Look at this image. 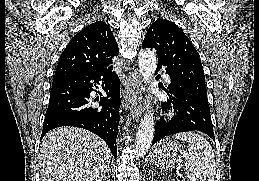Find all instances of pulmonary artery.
<instances>
[{
    "instance_id": "pulmonary-artery-1",
    "label": "pulmonary artery",
    "mask_w": 259,
    "mask_h": 181,
    "mask_svg": "<svg viewBox=\"0 0 259 181\" xmlns=\"http://www.w3.org/2000/svg\"><path fill=\"white\" fill-rule=\"evenodd\" d=\"M164 79H165V81L166 82H170V77H169V75H167V74H164Z\"/></svg>"
}]
</instances>
